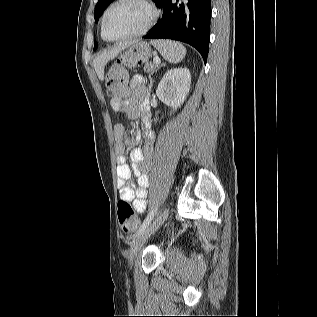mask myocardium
<instances>
[{"label":"myocardium","mask_w":317,"mask_h":317,"mask_svg":"<svg viewBox=\"0 0 317 317\" xmlns=\"http://www.w3.org/2000/svg\"><path fill=\"white\" fill-rule=\"evenodd\" d=\"M126 0H115L104 12L103 17H102V21H101V36L105 41L108 42H120V41H124V40H128L131 38H135V37H139L141 35H144L145 33H147L155 24L157 18H158V9L156 8V6L151 2V0H134L136 2H139L141 4H143L149 11V18L146 22V24L139 30L132 32L130 34H127L125 36L122 37H118V38H108L106 36L105 33V22H106V18L108 16V14L110 13V11L119 3L124 2Z\"/></svg>","instance_id":"myocardium-1"}]
</instances>
